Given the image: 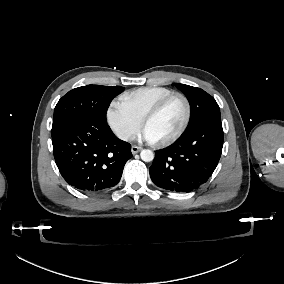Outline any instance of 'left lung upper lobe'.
Listing matches in <instances>:
<instances>
[{"label":"left lung upper lobe","mask_w":284,"mask_h":284,"mask_svg":"<svg viewBox=\"0 0 284 284\" xmlns=\"http://www.w3.org/2000/svg\"><path fill=\"white\" fill-rule=\"evenodd\" d=\"M187 97L191 107L188 127L207 120H221L220 109L215 99L204 90L185 84L174 83Z\"/></svg>","instance_id":"left-lung-upper-lobe-1"}]
</instances>
